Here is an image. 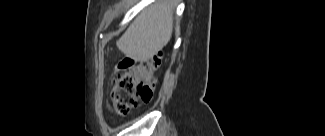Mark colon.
Here are the masks:
<instances>
[{"label":"colon","mask_w":325,"mask_h":136,"mask_svg":"<svg viewBox=\"0 0 325 136\" xmlns=\"http://www.w3.org/2000/svg\"><path fill=\"white\" fill-rule=\"evenodd\" d=\"M162 57H153L128 69L115 81L111 90L113 111L118 115H127L140 103L149 102L157 83L156 73Z\"/></svg>","instance_id":"colon-1"}]
</instances>
